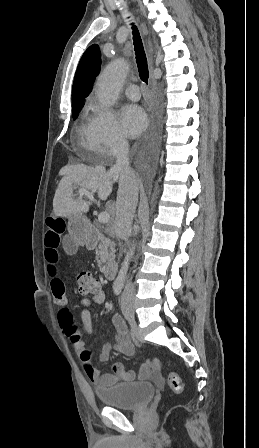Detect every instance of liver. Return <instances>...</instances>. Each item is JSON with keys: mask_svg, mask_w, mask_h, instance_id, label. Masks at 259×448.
<instances>
[{"mask_svg": "<svg viewBox=\"0 0 259 448\" xmlns=\"http://www.w3.org/2000/svg\"><path fill=\"white\" fill-rule=\"evenodd\" d=\"M60 174H63V178L60 180V184H58L53 200V212L57 218H73V216L86 214L89 210L90 202L73 200V184L92 190V192L102 190V194H104L103 200H106L111 192L112 178H115L112 172L88 168V166H83V164L66 166V168L61 170ZM108 210L112 212L111 206H108Z\"/></svg>", "mask_w": 259, "mask_h": 448, "instance_id": "6515ba94", "label": "liver"}]
</instances>
